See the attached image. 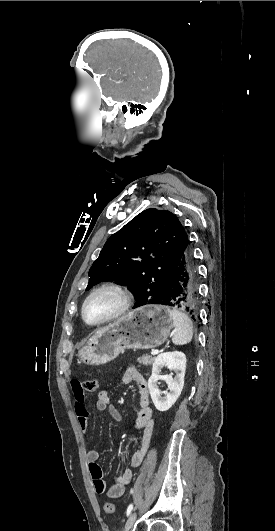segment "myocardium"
Here are the masks:
<instances>
[{
	"instance_id": "myocardium-1",
	"label": "myocardium",
	"mask_w": 275,
	"mask_h": 531,
	"mask_svg": "<svg viewBox=\"0 0 275 531\" xmlns=\"http://www.w3.org/2000/svg\"><path fill=\"white\" fill-rule=\"evenodd\" d=\"M105 292H112L118 296L119 301H120L119 307L113 313H111L110 315H108L107 317L101 320L89 321L85 317V312H84L87 302L90 301L95 296L101 293H105ZM130 305H131V293L128 290V288L125 285L118 283V282H108V283L102 284L101 286L95 288L90 294H88L84 298L81 304V317L86 324L92 325V326H99V325L109 323L119 318L123 314H125L127 310L129 309Z\"/></svg>"
}]
</instances>
